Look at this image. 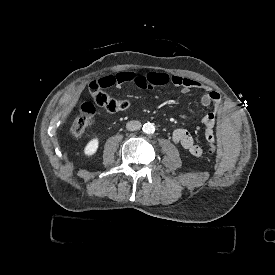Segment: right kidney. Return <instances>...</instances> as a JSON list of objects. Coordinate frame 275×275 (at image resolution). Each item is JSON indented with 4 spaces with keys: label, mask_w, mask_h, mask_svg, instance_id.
<instances>
[{
    "label": "right kidney",
    "mask_w": 275,
    "mask_h": 275,
    "mask_svg": "<svg viewBox=\"0 0 275 275\" xmlns=\"http://www.w3.org/2000/svg\"><path fill=\"white\" fill-rule=\"evenodd\" d=\"M98 145H99V141L97 138L90 140L84 148L85 155L91 156L95 154L98 149Z\"/></svg>",
    "instance_id": "1"
}]
</instances>
